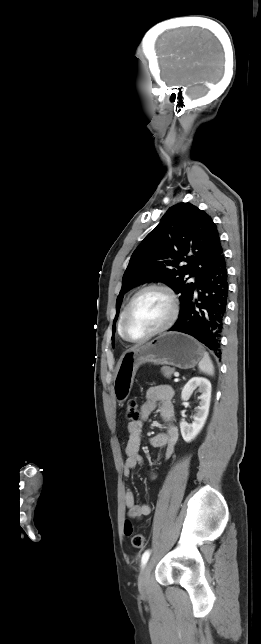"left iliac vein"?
<instances>
[{
  "mask_svg": "<svg viewBox=\"0 0 261 644\" xmlns=\"http://www.w3.org/2000/svg\"><path fill=\"white\" fill-rule=\"evenodd\" d=\"M151 569H152V562L149 561L140 572V575L138 578V588L142 594L147 593L149 590Z\"/></svg>",
  "mask_w": 261,
  "mask_h": 644,
  "instance_id": "obj_1",
  "label": "left iliac vein"
}]
</instances>
